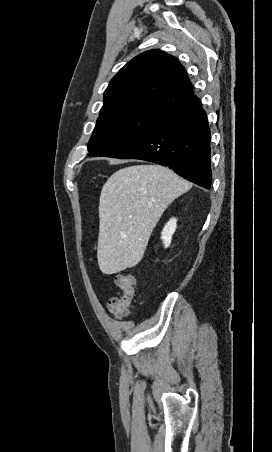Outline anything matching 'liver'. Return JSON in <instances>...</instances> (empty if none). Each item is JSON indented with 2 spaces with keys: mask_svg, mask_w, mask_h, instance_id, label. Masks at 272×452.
<instances>
[{
  "mask_svg": "<svg viewBox=\"0 0 272 452\" xmlns=\"http://www.w3.org/2000/svg\"><path fill=\"white\" fill-rule=\"evenodd\" d=\"M191 186L160 165H134L112 174L99 201L97 259L102 273L136 266L163 212Z\"/></svg>",
  "mask_w": 272,
  "mask_h": 452,
  "instance_id": "6515ba94",
  "label": "liver"
}]
</instances>
